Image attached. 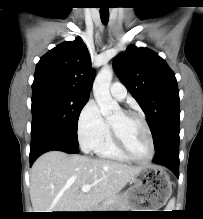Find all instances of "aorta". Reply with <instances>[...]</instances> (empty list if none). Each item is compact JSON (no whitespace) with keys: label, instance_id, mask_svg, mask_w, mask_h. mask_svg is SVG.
Instances as JSON below:
<instances>
[{"label":"aorta","instance_id":"obj_1","mask_svg":"<svg viewBox=\"0 0 203 219\" xmlns=\"http://www.w3.org/2000/svg\"><path fill=\"white\" fill-rule=\"evenodd\" d=\"M112 77V69L108 66H104L97 74L93 85L95 100L100 108L101 114L104 117H110L120 111V106L110 94Z\"/></svg>","mask_w":203,"mask_h":219}]
</instances>
